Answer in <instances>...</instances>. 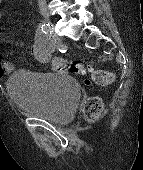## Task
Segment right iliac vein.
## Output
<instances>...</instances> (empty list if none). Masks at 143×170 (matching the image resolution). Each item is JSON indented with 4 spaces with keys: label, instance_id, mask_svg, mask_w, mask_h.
I'll use <instances>...</instances> for the list:
<instances>
[{
    "label": "right iliac vein",
    "instance_id": "63e3f726",
    "mask_svg": "<svg viewBox=\"0 0 143 170\" xmlns=\"http://www.w3.org/2000/svg\"><path fill=\"white\" fill-rule=\"evenodd\" d=\"M43 17H44L46 22L51 23V18H50V15H49L48 12H44Z\"/></svg>",
    "mask_w": 143,
    "mask_h": 170
}]
</instances>
